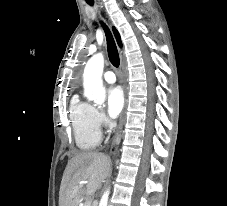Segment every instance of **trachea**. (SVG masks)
<instances>
[{"label":"trachea","mask_w":227,"mask_h":206,"mask_svg":"<svg viewBox=\"0 0 227 206\" xmlns=\"http://www.w3.org/2000/svg\"><path fill=\"white\" fill-rule=\"evenodd\" d=\"M90 5H92V3H90ZM102 26H103V29L106 34L109 60L113 66L119 67L120 59H119V54H118V50H117L115 41H114L112 34L109 31L108 27L104 23H102Z\"/></svg>","instance_id":"1"}]
</instances>
